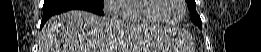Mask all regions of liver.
<instances>
[{"label": "liver", "mask_w": 261, "mask_h": 52, "mask_svg": "<svg viewBox=\"0 0 261 52\" xmlns=\"http://www.w3.org/2000/svg\"><path fill=\"white\" fill-rule=\"evenodd\" d=\"M163 34L162 29L151 31L143 25H125L114 17L71 10L46 22L38 52H117L122 50L121 42L139 50L156 49L163 42Z\"/></svg>", "instance_id": "1"}]
</instances>
